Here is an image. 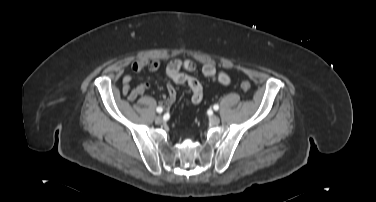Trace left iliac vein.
I'll use <instances>...</instances> for the list:
<instances>
[{"label": "left iliac vein", "instance_id": "1", "mask_svg": "<svg viewBox=\"0 0 376 202\" xmlns=\"http://www.w3.org/2000/svg\"><path fill=\"white\" fill-rule=\"evenodd\" d=\"M209 122L212 124V125H218L220 123V118L216 115H211L209 117Z\"/></svg>", "mask_w": 376, "mask_h": 202}]
</instances>
